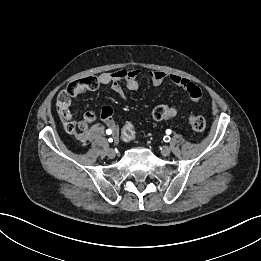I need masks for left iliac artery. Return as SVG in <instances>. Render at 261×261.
Wrapping results in <instances>:
<instances>
[{
  "mask_svg": "<svg viewBox=\"0 0 261 261\" xmlns=\"http://www.w3.org/2000/svg\"><path fill=\"white\" fill-rule=\"evenodd\" d=\"M166 134H168V135L171 134V130H170V129H167V130H166ZM164 141H165V142H169V141H170V136H165V137H164Z\"/></svg>",
  "mask_w": 261,
  "mask_h": 261,
  "instance_id": "obj_1",
  "label": "left iliac artery"
}]
</instances>
